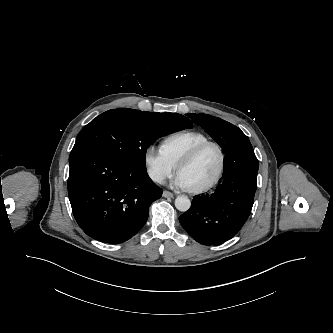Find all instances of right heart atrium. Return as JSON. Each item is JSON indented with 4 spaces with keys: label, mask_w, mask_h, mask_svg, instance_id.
I'll return each instance as SVG.
<instances>
[{
    "label": "right heart atrium",
    "mask_w": 333,
    "mask_h": 333,
    "mask_svg": "<svg viewBox=\"0 0 333 333\" xmlns=\"http://www.w3.org/2000/svg\"><path fill=\"white\" fill-rule=\"evenodd\" d=\"M144 163L149 177L158 184L171 178L176 170V166L155 146L145 150Z\"/></svg>",
    "instance_id": "obj_1"
}]
</instances>
